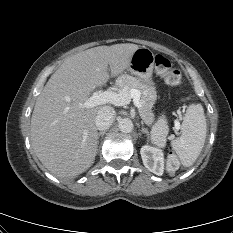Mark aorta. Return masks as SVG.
Wrapping results in <instances>:
<instances>
[{"label": "aorta", "instance_id": "1", "mask_svg": "<svg viewBox=\"0 0 233 233\" xmlns=\"http://www.w3.org/2000/svg\"><path fill=\"white\" fill-rule=\"evenodd\" d=\"M133 127V123L129 118H123L119 121V129L123 133L132 132Z\"/></svg>", "mask_w": 233, "mask_h": 233}]
</instances>
